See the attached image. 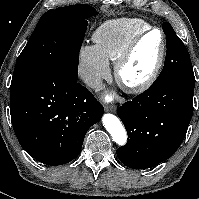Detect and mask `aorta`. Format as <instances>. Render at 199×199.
Listing matches in <instances>:
<instances>
[{
	"mask_svg": "<svg viewBox=\"0 0 199 199\" xmlns=\"http://www.w3.org/2000/svg\"><path fill=\"white\" fill-rule=\"evenodd\" d=\"M102 122L106 130L112 136L113 141L119 146H124L127 142V133L120 120L113 114H105Z\"/></svg>",
	"mask_w": 199,
	"mask_h": 199,
	"instance_id": "obj_1",
	"label": "aorta"
}]
</instances>
